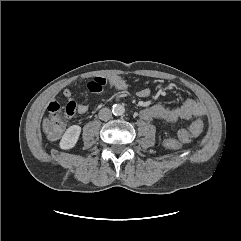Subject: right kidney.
Here are the masks:
<instances>
[{"label": "right kidney", "instance_id": "1", "mask_svg": "<svg viewBox=\"0 0 241 241\" xmlns=\"http://www.w3.org/2000/svg\"><path fill=\"white\" fill-rule=\"evenodd\" d=\"M80 133V126H70L62 136V139L60 141V148L65 150L73 148L79 139Z\"/></svg>", "mask_w": 241, "mask_h": 241}]
</instances>
